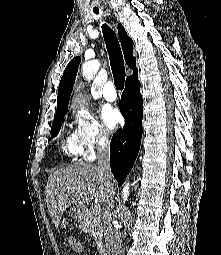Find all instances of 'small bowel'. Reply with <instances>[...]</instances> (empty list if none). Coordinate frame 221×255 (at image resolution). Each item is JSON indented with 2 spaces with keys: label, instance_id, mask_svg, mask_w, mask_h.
<instances>
[{
  "label": "small bowel",
  "instance_id": "1",
  "mask_svg": "<svg viewBox=\"0 0 221 255\" xmlns=\"http://www.w3.org/2000/svg\"><path fill=\"white\" fill-rule=\"evenodd\" d=\"M68 244L71 250L77 254L82 255L84 252V248L81 244V242L74 236H70L68 238Z\"/></svg>",
  "mask_w": 221,
  "mask_h": 255
}]
</instances>
